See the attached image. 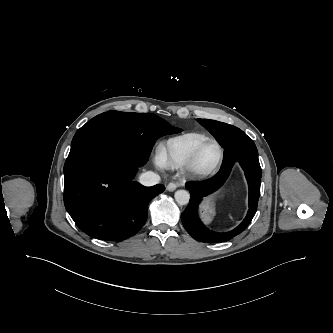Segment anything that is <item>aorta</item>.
Instances as JSON below:
<instances>
[{"label":"aorta","mask_w":333,"mask_h":333,"mask_svg":"<svg viewBox=\"0 0 333 333\" xmlns=\"http://www.w3.org/2000/svg\"><path fill=\"white\" fill-rule=\"evenodd\" d=\"M175 200L180 205H186L189 202L190 194L186 190H177L174 194Z\"/></svg>","instance_id":"762f6f07"}]
</instances>
